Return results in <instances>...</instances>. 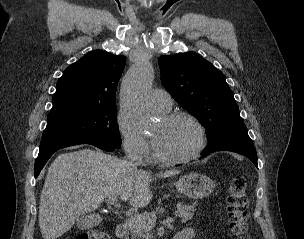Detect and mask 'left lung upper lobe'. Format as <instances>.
<instances>
[{
    "label": "left lung upper lobe",
    "instance_id": "1",
    "mask_svg": "<svg viewBox=\"0 0 304 239\" xmlns=\"http://www.w3.org/2000/svg\"><path fill=\"white\" fill-rule=\"evenodd\" d=\"M161 82L206 128L207 150L253 145L224 74L195 53L161 56Z\"/></svg>",
    "mask_w": 304,
    "mask_h": 239
}]
</instances>
